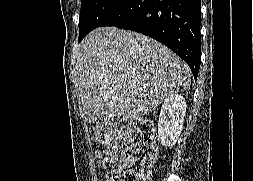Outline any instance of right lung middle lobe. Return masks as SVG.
<instances>
[{
  "label": "right lung middle lobe",
  "mask_w": 253,
  "mask_h": 181,
  "mask_svg": "<svg viewBox=\"0 0 253 181\" xmlns=\"http://www.w3.org/2000/svg\"><path fill=\"white\" fill-rule=\"evenodd\" d=\"M128 0H81L79 36L101 26Z\"/></svg>",
  "instance_id": "dd1d6c3e"
}]
</instances>
